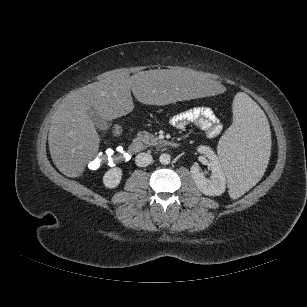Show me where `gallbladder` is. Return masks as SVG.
<instances>
[{"label": "gallbladder", "instance_id": "bac80fb5", "mask_svg": "<svg viewBox=\"0 0 307 307\" xmlns=\"http://www.w3.org/2000/svg\"><path fill=\"white\" fill-rule=\"evenodd\" d=\"M89 116L92 118L94 124L100 130H107L109 128V123L105 118H103L96 110L90 109L88 111Z\"/></svg>", "mask_w": 307, "mask_h": 307}]
</instances>
